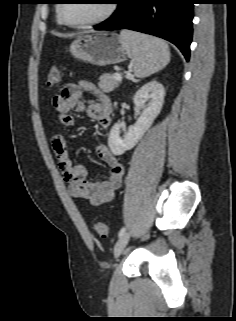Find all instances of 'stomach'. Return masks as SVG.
I'll list each match as a JSON object with an SVG mask.
<instances>
[{
    "label": "stomach",
    "instance_id": "stomach-1",
    "mask_svg": "<svg viewBox=\"0 0 236 321\" xmlns=\"http://www.w3.org/2000/svg\"><path fill=\"white\" fill-rule=\"evenodd\" d=\"M70 52L76 59L97 66L121 63L129 56L120 36L109 32L78 36L70 45Z\"/></svg>",
    "mask_w": 236,
    "mask_h": 321
}]
</instances>
